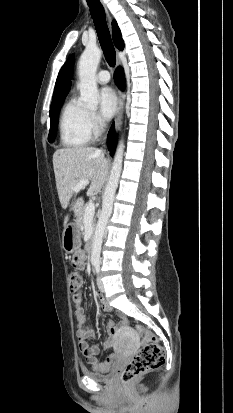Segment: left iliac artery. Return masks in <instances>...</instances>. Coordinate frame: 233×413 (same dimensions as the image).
Returning a JSON list of instances; mask_svg holds the SVG:
<instances>
[{"instance_id":"obj_1","label":"left iliac artery","mask_w":233,"mask_h":413,"mask_svg":"<svg viewBox=\"0 0 233 413\" xmlns=\"http://www.w3.org/2000/svg\"><path fill=\"white\" fill-rule=\"evenodd\" d=\"M95 269H96V273H99V271H100L99 265H96V266H95Z\"/></svg>"}]
</instances>
